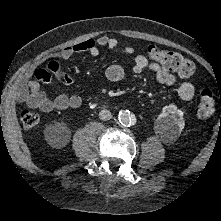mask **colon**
<instances>
[{
  "label": "colon",
  "mask_w": 221,
  "mask_h": 221,
  "mask_svg": "<svg viewBox=\"0 0 221 221\" xmlns=\"http://www.w3.org/2000/svg\"><path fill=\"white\" fill-rule=\"evenodd\" d=\"M148 55L150 59L158 63L162 68L176 72L181 77H191L195 72L194 63L183 57L181 54L161 49L157 46H149ZM215 109L214 94L210 89H203L199 95L197 115L200 118H208ZM21 122L27 130H34L38 127L40 118L33 111H24L21 115Z\"/></svg>",
  "instance_id": "colon-1"
}]
</instances>
